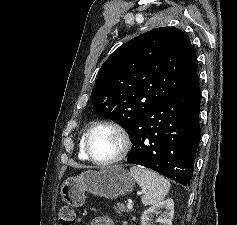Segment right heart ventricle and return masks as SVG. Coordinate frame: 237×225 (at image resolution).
<instances>
[{
	"label": "right heart ventricle",
	"instance_id": "right-heart-ventricle-1",
	"mask_svg": "<svg viewBox=\"0 0 237 225\" xmlns=\"http://www.w3.org/2000/svg\"><path fill=\"white\" fill-rule=\"evenodd\" d=\"M84 136L85 134H83L80 138V141H79V157L82 159V160H87L88 158L86 157L85 153H84V148H83V145H84Z\"/></svg>",
	"mask_w": 237,
	"mask_h": 225
}]
</instances>
